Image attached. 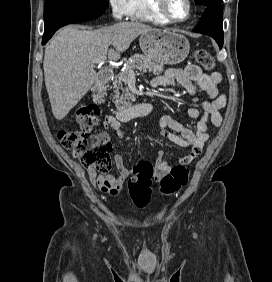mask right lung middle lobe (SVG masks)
Masks as SVG:
<instances>
[{
    "label": "right lung middle lobe",
    "instance_id": "dd1d6c3e",
    "mask_svg": "<svg viewBox=\"0 0 272 282\" xmlns=\"http://www.w3.org/2000/svg\"><path fill=\"white\" fill-rule=\"evenodd\" d=\"M109 0H46L44 19L53 15L82 9H98L105 11Z\"/></svg>",
    "mask_w": 272,
    "mask_h": 282
}]
</instances>
